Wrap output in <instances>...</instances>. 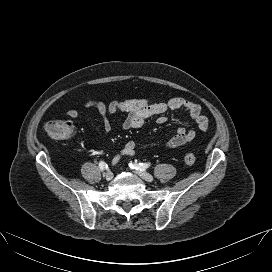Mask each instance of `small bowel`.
I'll list each match as a JSON object with an SVG mask.
<instances>
[{"label":"small bowel","mask_w":272,"mask_h":272,"mask_svg":"<svg viewBox=\"0 0 272 272\" xmlns=\"http://www.w3.org/2000/svg\"><path fill=\"white\" fill-rule=\"evenodd\" d=\"M84 108H93L97 110L103 120L104 134L108 135L111 131L110 118L117 113H125L126 118L123 122L125 129H137L142 127L146 120L158 116L157 122L162 124L167 121L166 113L170 110H185L194 120L196 128L186 129L178 127L173 136L166 142L165 147L174 149L179 146L192 142L197 132H203L208 129L209 119L202 114L199 104L185 98L174 97L166 101L153 102L147 98L129 99L124 101L114 100L109 104L101 101L89 100L83 104ZM67 116L76 119L80 116L77 109H70ZM136 154V143L133 140L128 141L119 153L113 157V163H117L126 156Z\"/></svg>","instance_id":"small-bowel-1"}]
</instances>
